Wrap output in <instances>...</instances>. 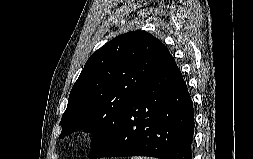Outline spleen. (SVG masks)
Segmentation results:
<instances>
[{
  "mask_svg": "<svg viewBox=\"0 0 253 159\" xmlns=\"http://www.w3.org/2000/svg\"><path fill=\"white\" fill-rule=\"evenodd\" d=\"M131 159H156L153 157L133 156Z\"/></svg>",
  "mask_w": 253,
  "mask_h": 159,
  "instance_id": "3e777b00",
  "label": "spleen"
}]
</instances>
